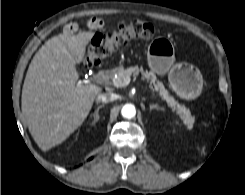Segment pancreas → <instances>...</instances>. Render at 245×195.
Here are the masks:
<instances>
[{"mask_svg": "<svg viewBox=\"0 0 245 195\" xmlns=\"http://www.w3.org/2000/svg\"><path fill=\"white\" fill-rule=\"evenodd\" d=\"M139 73L142 74L143 79H145L150 87H152L159 95L164 99L168 106H170L173 110L177 112L183 124L187 127V129H192L195 118L191 115V112L183 105L179 104L165 89L163 83L159 81L156 75L152 71H145L143 67H129L127 69H115L110 73V78L113 82H116L117 87H123L124 79L130 76H138ZM117 75L115 78L114 76Z\"/></svg>", "mask_w": 245, "mask_h": 195, "instance_id": "pancreas-1", "label": "pancreas"}]
</instances>
